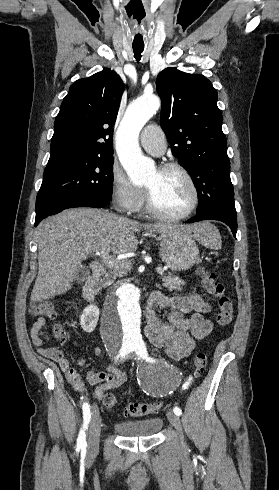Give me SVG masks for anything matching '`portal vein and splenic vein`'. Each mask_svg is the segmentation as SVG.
I'll return each mask as SVG.
<instances>
[{
    "label": "portal vein and splenic vein",
    "mask_w": 279,
    "mask_h": 490,
    "mask_svg": "<svg viewBox=\"0 0 279 490\" xmlns=\"http://www.w3.org/2000/svg\"><path fill=\"white\" fill-rule=\"evenodd\" d=\"M96 256H100V258H102L107 268H116L118 264H122V262H127V260H125L124 254H121V256H118V258H106V256H104V252H97ZM120 260H122V262H120ZM164 270L165 268H163V270L162 268H157L158 274H164Z\"/></svg>",
    "instance_id": "portal-vein-and-splenic-vein-1"
}]
</instances>
